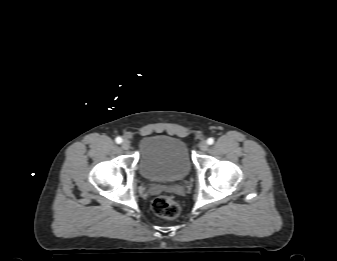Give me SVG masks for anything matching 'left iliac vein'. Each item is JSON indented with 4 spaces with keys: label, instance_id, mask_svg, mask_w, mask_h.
<instances>
[{
    "label": "left iliac vein",
    "instance_id": "left-iliac-vein-1",
    "mask_svg": "<svg viewBox=\"0 0 337 261\" xmlns=\"http://www.w3.org/2000/svg\"><path fill=\"white\" fill-rule=\"evenodd\" d=\"M199 148H200V150H202V151H206V150L208 149V143H207L206 141L200 142Z\"/></svg>",
    "mask_w": 337,
    "mask_h": 261
}]
</instances>
